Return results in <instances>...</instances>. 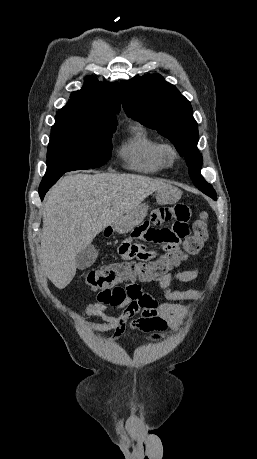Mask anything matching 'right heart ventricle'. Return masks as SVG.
<instances>
[{
	"instance_id": "1",
	"label": "right heart ventricle",
	"mask_w": 257,
	"mask_h": 459,
	"mask_svg": "<svg viewBox=\"0 0 257 459\" xmlns=\"http://www.w3.org/2000/svg\"><path fill=\"white\" fill-rule=\"evenodd\" d=\"M160 145V141L147 129L135 125L130 136L121 145L119 155L126 168L144 174H155L166 167L159 156Z\"/></svg>"
}]
</instances>
